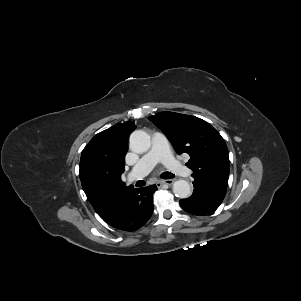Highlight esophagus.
Returning <instances> with one entry per match:
<instances>
[{
	"label": "esophagus",
	"mask_w": 301,
	"mask_h": 301,
	"mask_svg": "<svg viewBox=\"0 0 301 301\" xmlns=\"http://www.w3.org/2000/svg\"><path fill=\"white\" fill-rule=\"evenodd\" d=\"M174 183V180L173 179H166V180H160L157 182V184L159 185H168V186H171L172 184Z\"/></svg>",
	"instance_id": "1"
}]
</instances>
